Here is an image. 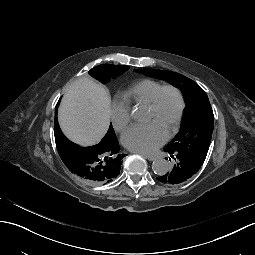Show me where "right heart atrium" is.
Returning <instances> with one entry per match:
<instances>
[{"label": "right heart atrium", "mask_w": 255, "mask_h": 255, "mask_svg": "<svg viewBox=\"0 0 255 255\" xmlns=\"http://www.w3.org/2000/svg\"><path fill=\"white\" fill-rule=\"evenodd\" d=\"M110 121L115 131L122 132L131 122L129 109L121 102H114L110 109Z\"/></svg>", "instance_id": "right-heart-atrium-1"}]
</instances>
